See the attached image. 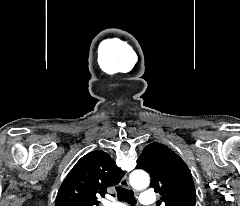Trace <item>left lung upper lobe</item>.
<instances>
[{
  "label": "left lung upper lobe",
  "mask_w": 240,
  "mask_h": 206,
  "mask_svg": "<svg viewBox=\"0 0 240 206\" xmlns=\"http://www.w3.org/2000/svg\"><path fill=\"white\" fill-rule=\"evenodd\" d=\"M138 169L151 176L150 186L164 197L165 206H195V188L185 162L167 146L147 145L139 159Z\"/></svg>",
  "instance_id": "obj_1"
}]
</instances>
